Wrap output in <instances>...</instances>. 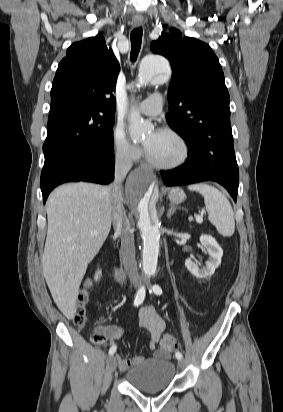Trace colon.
<instances>
[{
  "label": "colon",
  "mask_w": 283,
  "mask_h": 412,
  "mask_svg": "<svg viewBox=\"0 0 283 412\" xmlns=\"http://www.w3.org/2000/svg\"><path fill=\"white\" fill-rule=\"evenodd\" d=\"M88 301V294L82 292L77 300V305L73 315V321L76 325L82 326L86 321V303ZM91 340L96 345H102L106 337L102 332H96L92 335ZM180 348L178 340L172 336H165L160 343V352L163 356H167Z\"/></svg>",
  "instance_id": "5ec220e1"
}]
</instances>
